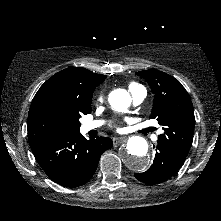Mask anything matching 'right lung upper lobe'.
<instances>
[{"mask_svg": "<svg viewBox=\"0 0 221 221\" xmlns=\"http://www.w3.org/2000/svg\"><path fill=\"white\" fill-rule=\"evenodd\" d=\"M105 79V75L93 73L82 67H69L56 73L34 96L28 113V123L33 120L37 105L45 100L75 101L82 109L91 107L92 94Z\"/></svg>", "mask_w": 221, "mask_h": 221, "instance_id": "1", "label": "right lung upper lobe"}]
</instances>
